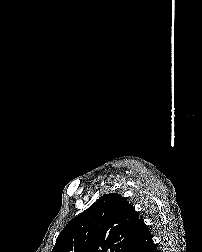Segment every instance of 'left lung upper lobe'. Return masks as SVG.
<instances>
[{"instance_id": "5c2ea615", "label": "left lung upper lobe", "mask_w": 202, "mask_h": 252, "mask_svg": "<svg viewBox=\"0 0 202 252\" xmlns=\"http://www.w3.org/2000/svg\"><path fill=\"white\" fill-rule=\"evenodd\" d=\"M141 221L124 197L104 194L64 227L52 252H132Z\"/></svg>"}]
</instances>
